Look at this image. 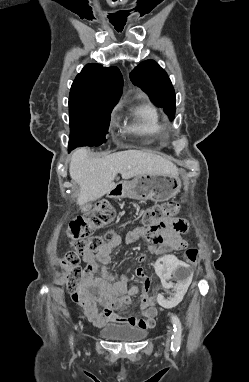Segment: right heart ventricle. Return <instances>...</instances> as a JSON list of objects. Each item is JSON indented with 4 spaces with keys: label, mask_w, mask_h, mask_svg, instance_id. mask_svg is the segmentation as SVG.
<instances>
[{
    "label": "right heart ventricle",
    "mask_w": 249,
    "mask_h": 382,
    "mask_svg": "<svg viewBox=\"0 0 249 382\" xmlns=\"http://www.w3.org/2000/svg\"><path fill=\"white\" fill-rule=\"evenodd\" d=\"M131 124L129 129L143 136H155L164 130L158 110L148 101L142 100L128 109Z\"/></svg>",
    "instance_id": "obj_1"
}]
</instances>
